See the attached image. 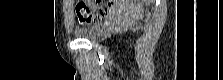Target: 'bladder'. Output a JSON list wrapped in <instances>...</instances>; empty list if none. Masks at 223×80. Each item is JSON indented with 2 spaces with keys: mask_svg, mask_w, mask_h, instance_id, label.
I'll list each match as a JSON object with an SVG mask.
<instances>
[{
  "mask_svg": "<svg viewBox=\"0 0 223 80\" xmlns=\"http://www.w3.org/2000/svg\"><path fill=\"white\" fill-rule=\"evenodd\" d=\"M105 29H106L105 23H100L88 27H77L74 30V35L78 38L95 40L103 35Z\"/></svg>",
  "mask_w": 223,
  "mask_h": 80,
  "instance_id": "1",
  "label": "bladder"
}]
</instances>
